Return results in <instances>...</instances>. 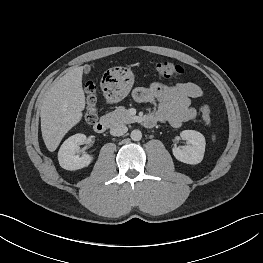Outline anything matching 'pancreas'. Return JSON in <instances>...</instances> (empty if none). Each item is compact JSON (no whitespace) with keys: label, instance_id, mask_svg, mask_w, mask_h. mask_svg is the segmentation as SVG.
I'll return each instance as SVG.
<instances>
[{"label":"pancreas","instance_id":"pancreas-1","mask_svg":"<svg viewBox=\"0 0 263 263\" xmlns=\"http://www.w3.org/2000/svg\"><path fill=\"white\" fill-rule=\"evenodd\" d=\"M112 126L116 124H129L135 122V117L132 116L125 107H117L114 111L105 115Z\"/></svg>","mask_w":263,"mask_h":263}]
</instances>
